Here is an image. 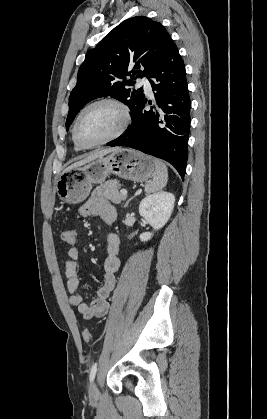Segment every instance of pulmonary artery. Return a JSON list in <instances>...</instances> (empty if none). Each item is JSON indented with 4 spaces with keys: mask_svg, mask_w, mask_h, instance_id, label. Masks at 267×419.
I'll list each match as a JSON object with an SVG mask.
<instances>
[{
    "mask_svg": "<svg viewBox=\"0 0 267 419\" xmlns=\"http://www.w3.org/2000/svg\"><path fill=\"white\" fill-rule=\"evenodd\" d=\"M138 86H143L146 93L151 94L152 93V87L147 78H142L139 80Z\"/></svg>",
    "mask_w": 267,
    "mask_h": 419,
    "instance_id": "e3ab8cb5",
    "label": "pulmonary artery"
}]
</instances>
